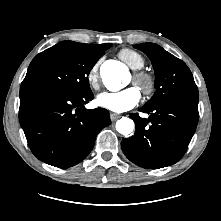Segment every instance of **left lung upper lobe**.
Instances as JSON below:
<instances>
[{"label":"left lung upper lobe","instance_id":"obj_1","mask_svg":"<svg viewBox=\"0 0 221 221\" xmlns=\"http://www.w3.org/2000/svg\"><path fill=\"white\" fill-rule=\"evenodd\" d=\"M152 61L156 92L144 106H155L173 99L198 102V88L187 65L154 43L134 46Z\"/></svg>","mask_w":221,"mask_h":221}]
</instances>
